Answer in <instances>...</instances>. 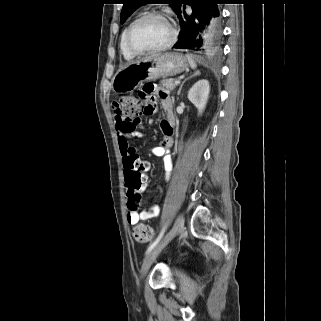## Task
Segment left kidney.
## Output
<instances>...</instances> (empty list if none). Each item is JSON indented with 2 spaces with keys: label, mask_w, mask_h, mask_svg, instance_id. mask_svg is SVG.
Masks as SVG:
<instances>
[{
  "label": "left kidney",
  "mask_w": 321,
  "mask_h": 321,
  "mask_svg": "<svg viewBox=\"0 0 321 321\" xmlns=\"http://www.w3.org/2000/svg\"><path fill=\"white\" fill-rule=\"evenodd\" d=\"M209 92V82L205 79L197 81L188 92V99L196 106L199 114L205 109Z\"/></svg>",
  "instance_id": "obj_1"
}]
</instances>
